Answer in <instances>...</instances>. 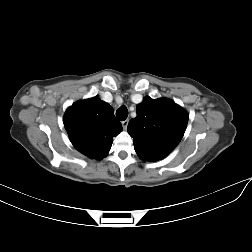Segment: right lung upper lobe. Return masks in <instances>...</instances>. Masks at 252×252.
I'll return each mask as SVG.
<instances>
[{
    "instance_id": "cb5924a9",
    "label": "right lung upper lobe",
    "mask_w": 252,
    "mask_h": 252,
    "mask_svg": "<svg viewBox=\"0 0 252 252\" xmlns=\"http://www.w3.org/2000/svg\"><path fill=\"white\" fill-rule=\"evenodd\" d=\"M63 123L73 146L97 160L107 156L112 138L122 131L113 108L98 96L74 103L67 109Z\"/></svg>"
}]
</instances>
